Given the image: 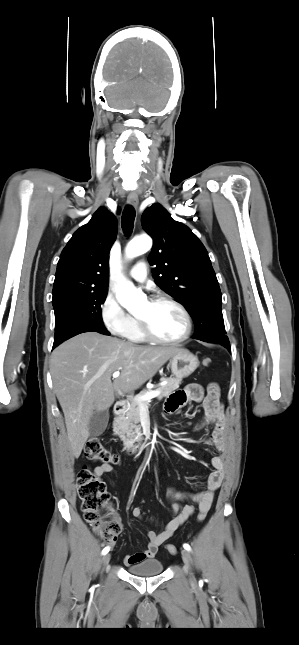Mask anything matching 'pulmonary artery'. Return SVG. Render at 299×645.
<instances>
[{"mask_svg": "<svg viewBox=\"0 0 299 645\" xmlns=\"http://www.w3.org/2000/svg\"><path fill=\"white\" fill-rule=\"evenodd\" d=\"M132 279L138 282H144L147 278V265L145 262H138L129 272Z\"/></svg>", "mask_w": 299, "mask_h": 645, "instance_id": "1", "label": "pulmonary artery"}]
</instances>
